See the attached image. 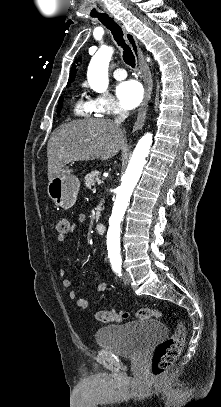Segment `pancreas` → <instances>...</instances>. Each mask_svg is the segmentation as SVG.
Returning a JSON list of instances; mask_svg holds the SVG:
<instances>
[{"label":"pancreas","instance_id":"obj_1","mask_svg":"<svg viewBox=\"0 0 221 407\" xmlns=\"http://www.w3.org/2000/svg\"><path fill=\"white\" fill-rule=\"evenodd\" d=\"M99 177H100L99 171H97V170L91 171L90 173H88L85 176V180H84L85 186L88 187L89 189H91L95 185V183L99 180ZM101 210H102V208H101V206H99L97 208V212H96V221L99 220Z\"/></svg>","mask_w":221,"mask_h":407}]
</instances>
